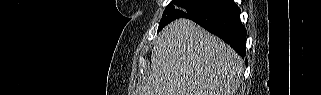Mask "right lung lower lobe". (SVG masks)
Here are the masks:
<instances>
[{"instance_id":"obj_1","label":"right lung lower lobe","mask_w":321,"mask_h":95,"mask_svg":"<svg viewBox=\"0 0 321 95\" xmlns=\"http://www.w3.org/2000/svg\"><path fill=\"white\" fill-rule=\"evenodd\" d=\"M184 18L217 35L245 58L247 32L240 21V9L233 0H213Z\"/></svg>"}]
</instances>
